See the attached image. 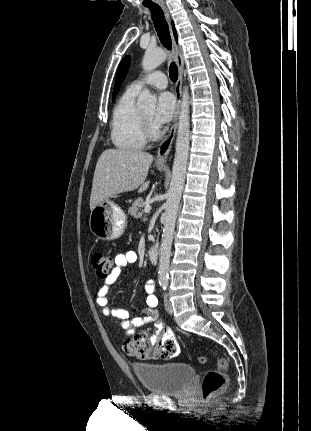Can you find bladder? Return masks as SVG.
I'll use <instances>...</instances> for the list:
<instances>
[{"label": "bladder", "instance_id": "1", "mask_svg": "<svg viewBox=\"0 0 311 431\" xmlns=\"http://www.w3.org/2000/svg\"><path fill=\"white\" fill-rule=\"evenodd\" d=\"M133 372L142 386L153 393H183L195 377V369L187 363H136Z\"/></svg>", "mask_w": 311, "mask_h": 431}]
</instances>
